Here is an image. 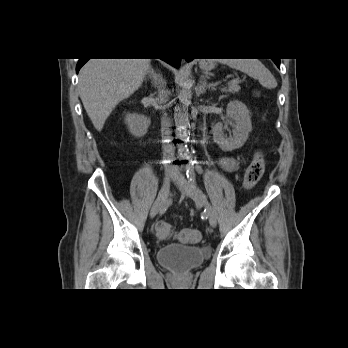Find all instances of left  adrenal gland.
Returning a JSON list of instances; mask_svg holds the SVG:
<instances>
[{
	"mask_svg": "<svg viewBox=\"0 0 348 348\" xmlns=\"http://www.w3.org/2000/svg\"><path fill=\"white\" fill-rule=\"evenodd\" d=\"M208 77L206 75H201L200 80H199V84H198V88H197V94H204L206 92L207 89H214V86L209 84L207 82Z\"/></svg>",
	"mask_w": 348,
	"mask_h": 348,
	"instance_id": "a2214340",
	"label": "left adrenal gland"
}]
</instances>
